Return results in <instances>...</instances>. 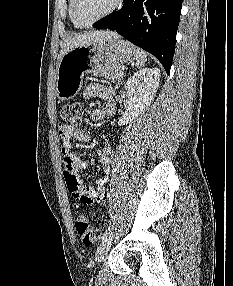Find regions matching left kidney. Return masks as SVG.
<instances>
[{
  "instance_id": "5707ae66",
  "label": "left kidney",
  "mask_w": 233,
  "mask_h": 286,
  "mask_svg": "<svg viewBox=\"0 0 233 286\" xmlns=\"http://www.w3.org/2000/svg\"><path fill=\"white\" fill-rule=\"evenodd\" d=\"M159 80L160 70L158 68L139 70L127 80L125 84L127 91L126 111L119 118V126L130 123L152 102L159 87Z\"/></svg>"
}]
</instances>
